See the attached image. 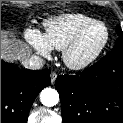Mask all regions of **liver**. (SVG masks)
<instances>
[{
    "label": "liver",
    "mask_w": 123,
    "mask_h": 123,
    "mask_svg": "<svg viewBox=\"0 0 123 123\" xmlns=\"http://www.w3.org/2000/svg\"><path fill=\"white\" fill-rule=\"evenodd\" d=\"M30 49L26 44L9 39L1 32V57H8L14 60L29 58Z\"/></svg>",
    "instance_id": "obj_1"
}]
</instances>
